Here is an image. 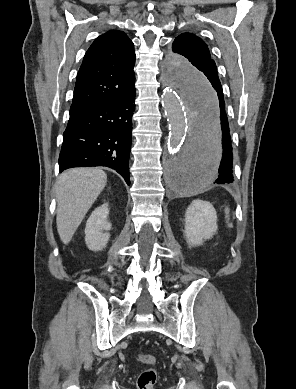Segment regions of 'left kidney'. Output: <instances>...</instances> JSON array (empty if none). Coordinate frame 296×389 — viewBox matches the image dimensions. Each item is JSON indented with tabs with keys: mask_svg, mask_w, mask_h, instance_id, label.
Wrapping results in <instances>:
<instances>
[{
	"mask_svg": "<svg viewBox=\"0 0 296 389\" xmlns=\"http://www.w3.org/2000/svg\"><path fill=\"white\" fill-rule=\"evenodd\" d=\"M217 215L212 204L194 200L186 210L185 235L189 247L201 245L217 231Z\"/></svg>",
	"mask_w": 296,
	"mask_h": 389,
	"instance_id": "1",
	"label": "left kidney"
}]
</instances>
